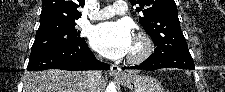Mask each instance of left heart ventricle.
Returning <instances> with one entry per match:
<instances>
[{
    "label": "left heart ventricle",
    "mask_w": 225,
    "mask_h": 92,
    "mask_svg": "<svg viewBox=\"0 0 225 92\" xmlns=\"http://www.w3.org/2000/svg\"><path fill=\"white\" fill-rule=\"evenodd\" d=\"M135 49H134V46H132V49H131V51L130 52H133Z\"/></svg>",
    "instance_id": "1"
}]
</instances>
